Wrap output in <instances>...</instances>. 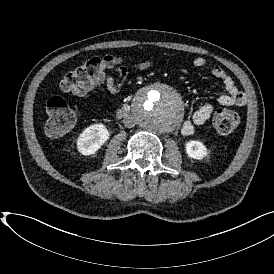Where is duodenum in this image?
<instances>
[{"instance_id":"duodenum-1","label":"duodenum","mask_w":274,"mask_h":274,"mask_svg":"<svg viewBox=\"0 0 274 274\" xmlns=\"http://www.w3.org/2000/svg\"><path fill=\"white\" fill-rule=\"evenodd\" d=\"M128 112H129V107H127V106H125L119 110L120 115L127 114Z\"/></svg>"}]
</instances>
